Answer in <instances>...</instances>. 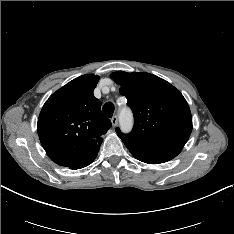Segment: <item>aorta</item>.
I'll return each mask as SVG.
<instances>
[{
  "label": "aorta",
  "instance_id": "aorta-1",
  "mask_svg": "<svg viewBox=\"0 0 234 234\" xmlns=\"http://www.w3.org/2000/svg\"><path fill=\"white\" fill-rule=\"evenodd\" d=\"M120 128L124 133L131 131L133 127V116L131 111L123 110L119 116Z\"/></svg>",
  "mask_w": 234,
  "mask_h": 234
}]
</instances>
